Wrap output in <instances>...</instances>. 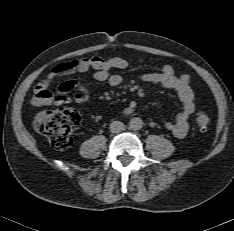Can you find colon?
<instances>
[{"instance_id": "5ec220e1", "label": "colon", "mask_w": 234, "mask_h": 231, "mask_svg": "<svg viewBox=\"0 0 234 231\" xmlns=\"http://www.w3.org/2000/svg\"><path fill=\"white\" fill-rule=\"evenodd\" d=\"M71 65H66L69 68ZM79 113L71 108L43 110L34 117V128L46 136L53 148L67 149L72 143V133L80 124ZM195 124L200 132H206L211 125L207 111L199 110L195 115Z\"/></svg>"}]
</instances>
